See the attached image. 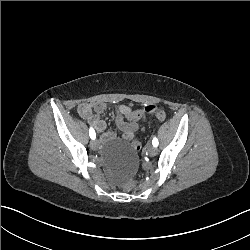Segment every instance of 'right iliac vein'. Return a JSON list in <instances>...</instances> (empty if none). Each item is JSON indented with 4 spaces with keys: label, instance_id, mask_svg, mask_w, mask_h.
I'll use <instances>...</instances> for the list:
<instances>
[{
    "label": "right iliac vein",
    "instance_id": "1",
    "mask_svg": "<svg viewBox=\"0 0 250 250\" xmlns=\"http://www.w3.org/2000/svg\"><path fill=\"white\" fill-rule=\"evenodd\" d=\"M90 147L93 149V150H97L99 148V143L96 139H93L90 143Z\"/></svg>",
    "mask_w": 250,
    "mask_h": 250
}]
</instances>
